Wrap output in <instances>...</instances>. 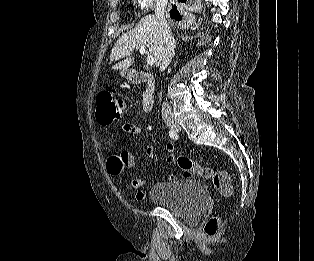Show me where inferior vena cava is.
Here are the masks:
<instances>
[{"instance_id":"1","label":"inferior vena cava","mask_w":314,"mask_h":261,"mask_svg":"<svg viewBox=\"0 0 314 261\" xmlns=\"http://www.w3.org/2000/svg\"><path fill=\"white\" fill-rule=\"evenodd\" d=\"M168 0H156V6H155V15L159 20L160 28L164 36V48L161 55V62H160V69H165L171 62L176 42L175 39L172 36L170 27L165 19V11L167 8ZM161 114L164 119H172L173 113L172 110L167 102H164L162 104L161 108Z\"/></svg>"}]
</instances>
